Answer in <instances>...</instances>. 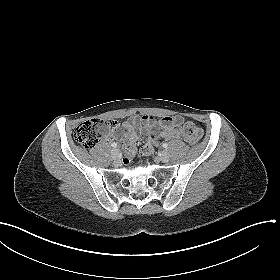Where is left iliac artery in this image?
<instances>
[{
  "label": "left iliac artery",
  "mask_w": 280,
  "mask_h": 280,
  "mask_svg": "<svg viewBox=\"0 0 280 280\" xmlns=\"http://www.w3.org/2000/svg\"><path fill=\"white\" fill-rule=\"evenodd\" d=\"M163 148H167L168 147V144L167 143H163Z\"/></svg>",
  "instance_id": "left-iliac-artery-1"
}]
</instances>
